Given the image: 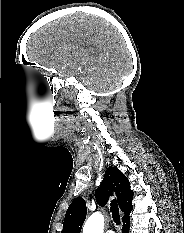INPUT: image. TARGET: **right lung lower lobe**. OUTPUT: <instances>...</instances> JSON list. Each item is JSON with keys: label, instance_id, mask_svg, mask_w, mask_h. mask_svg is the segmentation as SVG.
I'll return each instance as SVG.
<instances>
[{"label": "right lung lower lobe", "instance_id": "98d812e1", "mask_svg": "<svg viewBox=\"0 0 184 233\" xmlns=\"http://www.w3.org/2000/svg\"><path fill=\"white\" fill-rule=\"evenodd\" d=\"M129 227H130L129 218H127V219L123 220L122 233H129Z\"/></svg>", "mask_w": 184, "mask_h": 233}]
</instances>
